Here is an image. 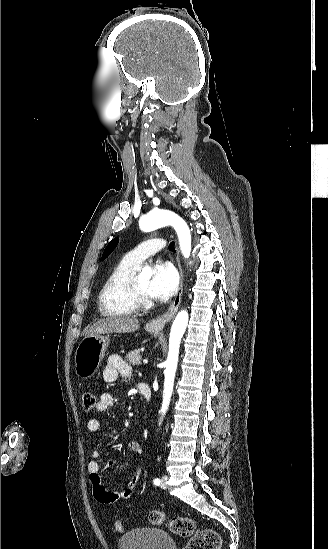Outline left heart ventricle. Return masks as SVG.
Wrapping results in <instances>:
<instances>
[{
  "label": "left heart ventricle",
  "mask_w": 328,
  "mask_h": 549,
  "mask_svg": "<svg viewBox=\"0 0 328 549\" xmlns=\"http://www.w3.org/2000/svg\"><path fill=\"white\" fill-rule=\"evenodd\" d=\"M148 269L150 270V268ZM136 283H137L139 292L143 296L150 298V295H149L150 273L141 272L137 277Z\"/></svg>",
  "instance_id": "left-heart-ventricle-1"
}]
</instances>
